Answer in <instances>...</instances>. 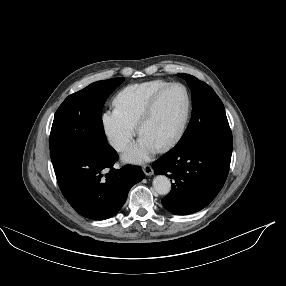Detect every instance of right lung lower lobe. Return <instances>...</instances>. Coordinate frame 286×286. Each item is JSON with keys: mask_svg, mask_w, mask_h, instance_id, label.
<instances>
[{"mask_svg": "<svg viewBox=\"0 0 286 286\" xmlns=\"http://www.w3.org/2000/svg\"><path fill=\"white\" fill-rule=\"evenodd\" d=\"M89 151H78L53 162L62 194L80 215L104 220L115 215L126 201L130 188L141 181V168L125 165L113 168L117 160ZM109 172L103 177V172Z\"/></svg>", "mask_w": 286, "mask_h": 286, "instance_id": "right-lung-lower-lobe-1", "label": "right lung lower lobe"}]
</instances>
